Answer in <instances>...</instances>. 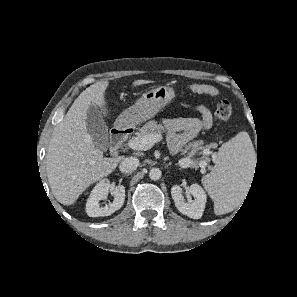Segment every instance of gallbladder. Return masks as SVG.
<instances>
[{"mask_svg":"<svg viewBox=\"0 0 297 297\" xmlns=\"http://www.w3.org/2000/svg\"><path fill=\"white\" fill-rule=\"evenodd\" d=\"M87 129L91 135L94 144L102 151L108 147V128L107 125L94 104H91L87 111Z\"/></svg>","mask_w":297,"mask_h":297,"instance_id":"1","label":"gallbladder"}]
</instances>
